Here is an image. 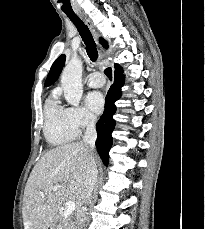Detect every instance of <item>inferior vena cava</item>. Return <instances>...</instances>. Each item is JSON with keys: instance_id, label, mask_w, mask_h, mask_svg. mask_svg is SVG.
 <instances>
[{"instance_id": "602c4592", "label": "inferior vena cava", "mask_w": 205, "mask_h": 229, "mask_svg": "<svg viewBox=\"0 0 205 229\" xmlns=\"http://www.w3.org/2000/svg\"><path fill=\"white\" fill-rule=\"evenodd\" d=\"M85 122H86V130L83 136V142L89 149L90 161L88 164L87 176H86L85 184H84V190L79 200L80 210L78 213V220H79V226L81 227L80 229H82V227L85 226V223L87 221L86 205L90 201V198L92 196V192L95 186V182L97 180V169H96L95 162L92 156V153L95 147V142L97 139V132L95 128L96 118L92 115H87Z\"/></svg>"}]
</instances>
